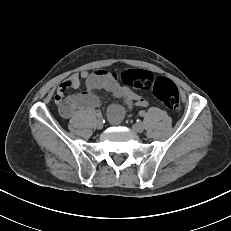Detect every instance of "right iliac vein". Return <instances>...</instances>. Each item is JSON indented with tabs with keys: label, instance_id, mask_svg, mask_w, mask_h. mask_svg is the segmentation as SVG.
I'll use <instances>...</instances> for the list:
<instances>
[{
	"label": "right iliac vein",
	"instance_id": "63e3f726",
	"mask_svg": "<svg viewBox=\"0 0 231 231\" xmlns=\"http://www.w3.org/2000/svg\"><path fill=\"white\" fill-rule=\"evenodd\" d=\"M96 127H97L98 129H102V128H103V122H102L101 119H98V120L96 121Z\"/></svg>",
	"mask_w": 231,
	"mask_h": 231
}]
</instances>
